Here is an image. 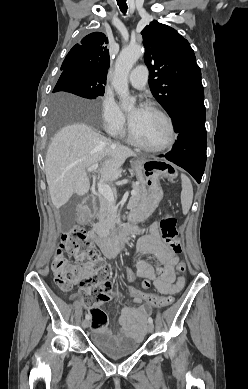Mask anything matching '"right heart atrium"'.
<instances>
[{"instance_id": "right-heart-atrium-1", "label": "right heart atrium", "mask_w": 248, "mask_h": 389, "mask_svg": "<svg viewBox=\"0 0 248 389\" xmlns=\"http://www.w3.org/2000/svg\"><path fill=\"white\" fill-rule=\"evenodd\" d=\"M102 122L104 129L111 135H122L126 128V118L109 93L102 98Z\"/></svg>"}]
</instances>
